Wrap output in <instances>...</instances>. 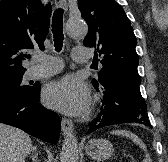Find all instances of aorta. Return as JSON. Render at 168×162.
Wrapping results in <instances>:
<instances>
[{
  "label": "aorta",
  "mask_w": 168,
  "mask_h": 162,
  "mask_svg": "<svg viewBox=\"0 0 168 162\" xmlns=\"http://www.w3.org/2000/svg\"><path fill=\"white\" fill-rule=\"evenodd\" d=\"M67 34L72 38H83L88 27L82 19H69L66 24ZM78 142L76 136L67 135L63 141L60 162H78Z\"/></svg>",
  "instance_id": "aorta-1"
}]
</instances>
